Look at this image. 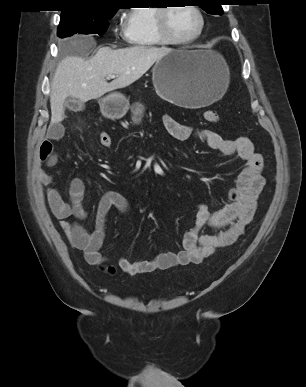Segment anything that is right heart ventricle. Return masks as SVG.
<instances>
[{"label": "right heart ventricle", "instance_id": "1", "mask_svg": "<svg viewBox=\"0 0 306 387\" xmlns=\"http://www.w3.org/2000/svg\"><path fill=\"white\" fill-rule=\"evenodd\" d=\"M156 11L155 7H137L127 13L124 36L130 45L151 48L164 44L156 31Z\"/></svg>", "mask_w": 306, "mask_h": 387}]
</instances>
